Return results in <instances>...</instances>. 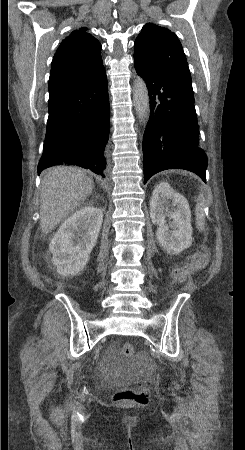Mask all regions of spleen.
Listing matches in <instances>:
<instances>
[{
    "label": "spleen",
    "mask_w": 245,
    "mask_h": 450,
    "mask_svg": "<svg viewBox=\"0 0 245 450\" xmlns=\"http://www.w3.org/2000/svg\"><path fill=\"white\" fill-rule=\"evenodd\" d=\"M196 223L199 230H203L205 226V215H204V203L203 194L199 196V200L196 206Z\"/></svg>",
    "instance_id": "1"
}]
</instances>
